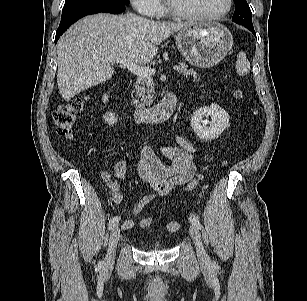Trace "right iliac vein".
Returning a JSON list of instances; mask_svg holds the SVG:
<instances>
[{"mask_svg":"<svg viewBox=\"0 0 307 301\" xmlns=\"http://www.w3.org/2000/svg\"><path fill=\"white\" fill-rule=\"evenodd\" d=\"M119 238H120V228L116 225L113 227L111 231L108 251L104 260L105 266L107 267H111L115 263V251Z\"/></svg>","mask_w":307,"mask_h":301,"instance_id":"63e3f726","label":"right iliac vein"}]
</instances>
